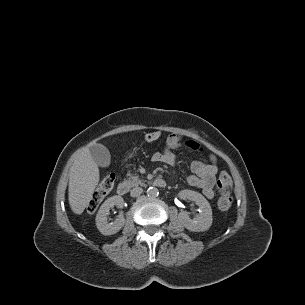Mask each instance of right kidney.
<instances>
[{
  "mask_svg": "<svg viewBox=\"0 0 305 305\" xmlns=\"http://www.w3.org/2000/svg\"><path fill=\"white\" fill-rule=\"evenodd\" d=\"M124 205V200L121 196L115 195L107 200L101 205L98 213L96 215V226L98 230L103 235H113L121 230L125 224V218L123 215H119L114 222L109 223L107 220V215L112 207L118 206L122 208Z\"/></svg>",
  "mask_w": 305,
  "mask_h": 305,
  "instance_id": "1",
  "label": "right kidney"
}]
</instances>
